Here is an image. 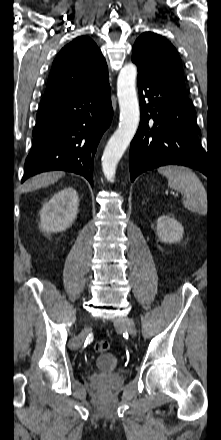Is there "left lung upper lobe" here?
<instances>
[{"label":"left lung upper lobe","mask_w":221,"mask_h":440,"mask_svg":"<svg viewBox=\"0 0 221 440\" xmlns=\"http://www.w3.org/2000/svg\"><path fill=\"white\" fill-rule=\"evenodd\" d=\"M132 52V61L139 69L186 94L181 59L168 40L145 32L134 43Z\"/></svg>","instance_id":"obj_1"}]
</instances>
